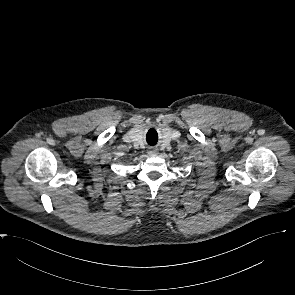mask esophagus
<instances>
[{"label": "esophagus", "mask_w": 295, "mask_h": 295, "mask_svg": "<svg viewBox=\"0 0 295 295\" xmlns=\"http://www.w3.org/2000/svg\"><path fill=\"white\" fill-rule=\"evenodd\" d=\"M156 152H157V149H156V148H150V149L148 150V154H149V155H154V154H156Z\"/></svg>", "instance_id": "esophagus-1"}]
</instances>
